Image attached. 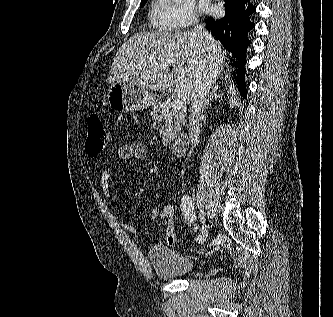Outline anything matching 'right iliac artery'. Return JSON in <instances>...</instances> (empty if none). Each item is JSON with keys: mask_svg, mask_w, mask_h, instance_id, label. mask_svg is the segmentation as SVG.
Segmentation results:
<instances>
[{"mask_svg": "<svg viewBox=\"0 0 333 317\" xmlns=\"http://www.w3.org/2000/svg\"><path fill=\"white\" fill-rule=\"evenodd\" d=\"M181 211L186 220L193 222L195 220V212L192 204V200L188 195H184L181 200ZM196 241L200 242L201 237L198 235Z\"/></svg>", "mask_w": 333, "mask_h": 317, "instance_id": "1", "label": "right iliac artery"}]
</instances>
